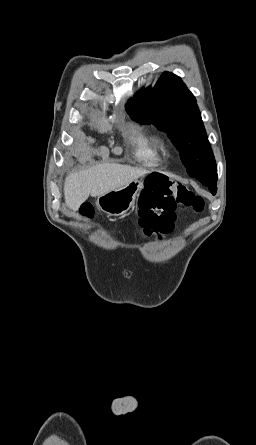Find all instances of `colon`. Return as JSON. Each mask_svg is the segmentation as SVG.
Instances as JSON below:
<instances>
[{
    "instance_id": "obj_1",
    "label": "colon",
    "mask_w": 256,
    "mask_h": 445,
    "mask_svg": "<svg viewBox=\"0 0 256 445\" xmlns=\"http://www.w3.org/2000/svg\"><path fill=\"white\" fill-rule=\"evenodd\" d=\"M138 205V223L142 233L162 236L172 230L177 209L199 213L204 208V201L185 185L162 175H153L147 179L146 187L139 195ZM81 213L85 217H92V206L82 204Z\"/></svg>"
}]
</instances>
